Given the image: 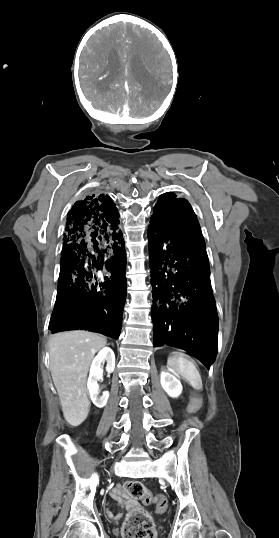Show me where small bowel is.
Returning a JSON list of instances; mask_svg holds the SVG:
<instances>
[{"instance_id": "small-bowel-1", "label": "small bowel", "mask_w": 279, "mask_h": 538, "mask_svg": "<svg viewBox=\"0 0 279 538\" xmlns=\"http://www.w3.org/2000/svg\"><path fill=\"white\" fill-rule=\"evenodd\" d=\"M111 497L117 501V506L119 508V512L117 514H113L111 511H107V516L110 519H113L115 521L120 520L122 516V512L125 508L131 509L135 507V502L132 500H128L127 492L123 489L122 486L118 485L115 488H113L110 492Z\"/></svg>"}]
</instances>
